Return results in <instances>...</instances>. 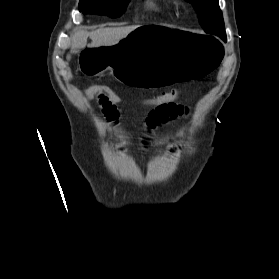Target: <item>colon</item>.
I'll return each instance as SVG.
<instances>
[{"instance_id":"colon-1","label":"colon","mask_w":279,"mask_h":279,"mask_svg":"<svg viewBox=\"0 0 279 279\" xmlns=\"http://www.w3.org/2000/svg\"><path fill=\"white\" fill-rule=\"evenodd\" d=\"M83 92L87 97L105 99L106 101L114 103L116 105L120 104L123 101V98L119 93L104 85H89L83 88ZM182 94V90L172 89L154 95L148 99L136 100V104L140 106L152 107L170 105L172 103H176V101L182 96Z\"/></svg>"}]
</instances>
